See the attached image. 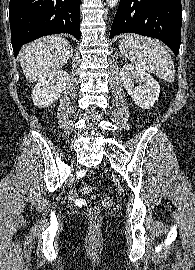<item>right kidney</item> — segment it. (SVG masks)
Masks as SVG:
<instances>
[{
  "label": "right kidney",
  "instance_id": "ca27d5eb",
  "mask_svg": "<svg viewBox=\"0 0 195 270\" xmlns=\"http://www.w3.org/2000/svg\"><path fill=\"white\" fill-rule=\"evenodd\" d=\"M67 81L68 73L63 70H56L40 79L31 94L34 105L43 108L50 106L60 98Z\"/></svg>",
  "mask_w": 195,
  "mask_h": 270
}]
</instances>
